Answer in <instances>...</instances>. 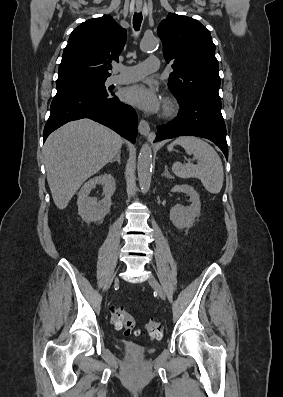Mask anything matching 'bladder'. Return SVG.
Instances as JSON below:
<instances>
[{"mask_svg": "<svg viewBox=\"0 0 283 397\" xmlns=\"http://www.w3.org/2000/svg\"><path fill=\"white\" fill-rule=\"evenodd\" d=\"M119 349L120 350H138V351H141V352H143V353H145V354H151V353H153L154 352V349H143V348H140L138 345H136V344H134V343H131V342H122V343H120L119 344Z\"/></svg>", "mask_w": 283, "mask_h": 397, "instance_id": "31cf9c89", "label": "bladder"}]
</instances>
